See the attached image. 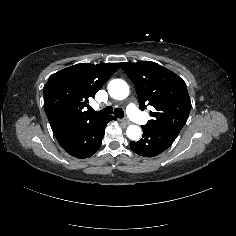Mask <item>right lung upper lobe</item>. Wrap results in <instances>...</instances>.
<instances>
[{"mask_svg":"<svg viewBox=\"0 0 236 236\" xmlns=\"http://www.w3.org/2000/svg\"><path fill=\"white\" fill-rule=\"evenodd\" d=\"M118 68V63H83L49 77L43 88L44 109L55 136L106 116L85 111L84 107Z\"/></svg>","mask_w":236,"mask_h":236,"instance_id":"obj_1","label":"right lung upper lobe"}]
</instances>
